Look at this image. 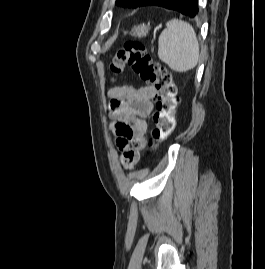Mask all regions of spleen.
<instances>
[{"label":"spleen","mask_w":265,"mask_h":269,"mask_svg":"<svg viewBox=\"0 0 265 269\" xmlns=\"http://www.w3.org/2000/svg\"><path fill=\"white\" fill-rule=\"evenodd\" d=\"M158 57L175 72H186L199 61V43L194 28L180 19L166 23L158 40Z\"/></svg>","instance_id":"3e777b00"}]
</instances>
